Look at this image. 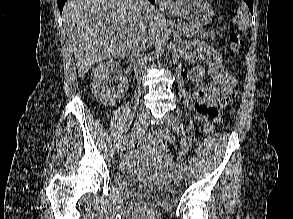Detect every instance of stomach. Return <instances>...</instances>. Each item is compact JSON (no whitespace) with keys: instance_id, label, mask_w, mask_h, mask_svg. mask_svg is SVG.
I'll list each match as a JSON object with an SVG mask.
<instances>
[{"instance_id":"0dacf381","label":"stomach","mask_w":293,"mask_h":219,"mask_svg":"<svg viewBox=\"0 0 293 219\" xmlns=\"http://www.w3.org/2000/svg\"><path fill=\"white\" fill-rule=\"evenodd\" d=\"M164 9L168 14L183 18L197 27L207 25L213 15L212 7L206 0H176Z\"/></svg>"}]
</instances>
